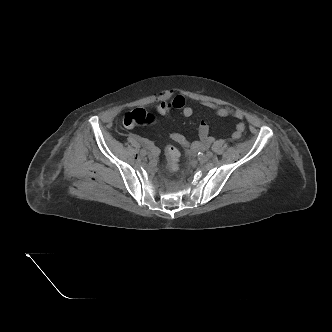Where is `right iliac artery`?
Wrapping results in <instances>:
<instances>
[{
  "label": "right iliac artery",
  "instance_id": "1",
  "mask_svg": "<svg viewBox=\"0 0 332 332\" xmlns=\"http://www.w3.org/2000/svg\"><path fill=\"white\" fill-rule=\"evenodd\" d=\"M141 146H142L143 148L150 149V145L148 144V142L143 141V142L141 143Z\"/></svg>",
  "mask_w": 332,
  "mask_h": 332
}]
</instances>
